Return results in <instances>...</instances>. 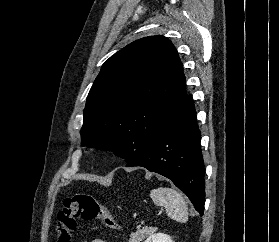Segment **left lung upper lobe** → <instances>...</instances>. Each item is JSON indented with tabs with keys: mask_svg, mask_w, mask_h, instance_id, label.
Segmentation results:
<instances>
[{
	"mask_svg": "<svg viewBox=\"0 0 279 242\" xmlns=\"http://www.w3.org/2000/svg\"><path fill=\"white\" fill-rule=\"evenodd\" d=\"M189 97L172 42L162 36L136 40L111 56L95 79L82 145L112 151L128 163L173 122Z\"/></svg>",
	"mask_w": 279,
	"mask_h": 242,
	"instance_id": "1",
	"label": "left lung upper lobe"
}]
</instances>
